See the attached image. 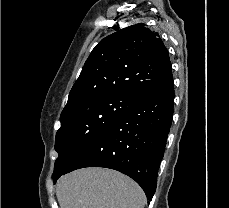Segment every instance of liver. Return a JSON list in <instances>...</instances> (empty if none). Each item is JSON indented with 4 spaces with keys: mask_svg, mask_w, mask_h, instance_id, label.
Wrapping results in <instances>:
<instances>
[{
    "mask_svg": "<svg viewBox=\"0 0 229 208\" xmlns=\"http://www.w3.org/2000/svg\"><path fill=\"white\" fill-rule=\"evenodd\" d=\"M60 208H144L140 186L115 170L84 168L58 180Z\"/></svg>",
    "mask_w": 229,
    "mask_h": 208,
    "instance_id": "6515ba94",
    "label": "liver"
}]
</instances>
